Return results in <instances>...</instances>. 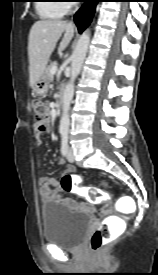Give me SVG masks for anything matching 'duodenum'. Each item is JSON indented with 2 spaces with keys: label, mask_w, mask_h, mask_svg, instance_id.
<instances>
[{
  "label": "duodenum",
  "mask_w": 158,
  "mask_h": 275,
  "mask_svg": "<svg viewBox=\"0 0 158 275\" xmlns=\"http://www.w3.org/2000/svg\"><path fill=\"white\" fill-rule=\"evenodd\" d=\"M64 95H65V92H64V90H62L60 93L59 99H58V107L59 108H61L64 103Z\"/></svg>",
  "instance_id": "1"
}]
</instances>
